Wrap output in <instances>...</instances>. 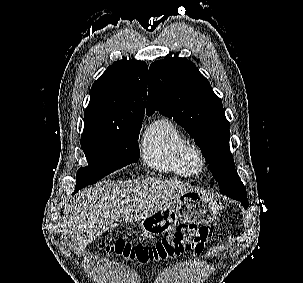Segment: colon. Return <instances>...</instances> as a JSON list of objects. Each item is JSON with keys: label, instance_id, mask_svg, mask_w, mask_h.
I'll use <instances>...</instances> for the list:
<instances>
[{"label": "colon", "instance_id": "obj_1", "mask_svg": "<svg viewBox=\"0 0 303 283\" xmlns=\"http://www.w3.org/2000/svg\"><path fill=\"white\" fill-rule=\"evenodd\" d=\"M210 238L204 226L181 225L169 237L152 244H131L123 241L102 243L99 248L119 259L139 264L173 259L187 251L201 252Z\"/></svg>", "mask_w": 303, "mask_h": 283}]
</instances>
